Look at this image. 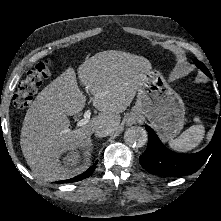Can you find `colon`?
<instances>
[{
  "label": "colon",
  "mask_w": 221,
  "mask_h": 221,
  "mask_svg": "<svg viewBox=\"0 0 221 221\" xmlns=\"http://www.w3.org/2000/svg\"><path fill=\"white\" fill-rule=\"evenodd\" d=\"M53 70L54 62L52 60H45L29 71L18 86L14 96V106L17 109L29 107L38 87L51 76Z\"/></svg>",
  "instance_id": "1"
}]
</instances>
